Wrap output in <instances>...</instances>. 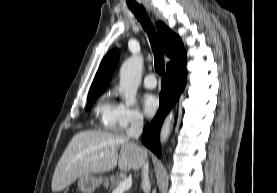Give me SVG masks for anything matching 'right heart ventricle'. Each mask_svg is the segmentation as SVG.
I'll list each match as a JSON object with an SVG mask.
<instances>
[{
	"label": "right heart ventricle",
	"mask_w": 277,
	"mask_h": 193,
	"mask_svg": "<svg viewBox=\"0 0 277 193\" xmlns=\"http://www.w3.org/2000/svg\"><path fill=\"white\" fill-rule=\"evenodd\" d=\"M116 105L108 99L101 100L95 108V115L99 123L106 129L114 128V112Z\"/></svg>",
	"instance_id": "obj_1"
}]
</instances>
